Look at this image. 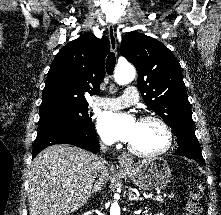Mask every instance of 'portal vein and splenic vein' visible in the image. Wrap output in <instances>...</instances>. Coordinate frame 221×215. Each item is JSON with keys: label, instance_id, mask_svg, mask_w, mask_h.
<instances>
[{"label": "portal vein and splenic vein", "instance_id": "obj_1", "mask_svg": "<svg viewBox=\"0 0 221 215\" xmlns=\"http://www.w3.org/2000/svg\"><path fill=\"white\" fill-rule=\"evenodd\" d=\"M147 198H155L156 200H162L161 196H154L152 194L147 195Z\"/></svg>", "mask_w": 221, "mask_h": 215}]
</instances>
